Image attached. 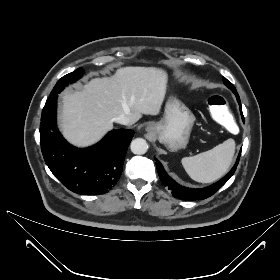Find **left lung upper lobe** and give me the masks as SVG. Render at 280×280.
I'll use <instances>...</instances> for the list:
<instances>
[{"label":"left lung upper lobe","mask_w":280,"mask_h":280,"mask_svg":"<svg viewBox=\"0 0 280 280\" xmlns=\"http://www.w3.org/2000/svg\"><path fill=\"white\" fill-rule=\"evenodd\" d=\"M223 82H224V84H225L228 88H230V89L233 91V93H234L235 95L238 96V93H237V91H236L234 85H233L231 82H229L226 78H223Z\"/></svg>","instance_id":"left-lung-upper-lobe-1"}]
</instances>
